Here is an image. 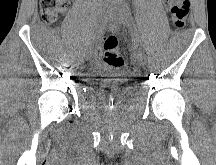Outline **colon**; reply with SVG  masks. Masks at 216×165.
<instances>
[{"instance_id": "colon-1", "label": "colon", "mask_w": 216, "mask_h": 165, "mask_svg": "<svg viewBox=\"0 0 216 165\" xmlns=\"http://www.w3.org/2000/svg\"><path fill=\"white\" fill-rule=\"evenodd\" d=\"M173 26L182 28L190 12L189 0H167ZM68 0H40V11L45 22L55 24L59 22L62 14L68 8ZM103 66L107 69L117 70L123 67L124 60L119 52L118 39L110 34L104 41ZM134 69V66H131Z\"/></svg>"}]
</instances>
